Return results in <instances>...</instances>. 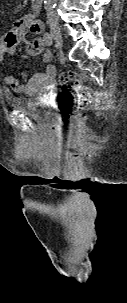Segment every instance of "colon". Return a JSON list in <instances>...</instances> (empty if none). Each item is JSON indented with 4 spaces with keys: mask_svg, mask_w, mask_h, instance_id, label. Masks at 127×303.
Returning <instances> with one entry per match:
<instances>
[{
    "mask_svg": "<svg viewBox=\"0 0 127 303\" xmlns=\"http://www.w3.org/2000/svg\"><path fill=\"white\" fill-rule=\"evenodd\" d=\"M61 92V109L64 118L73 115L89 107L92 102L91 89L84 85L80 76L73 71H65L59 77Z\"/></svg>",
    "mask_w": 127,
    "mask_h": 303,
    "instance_id": "1",
    "label": "colon"
}]
</instances>
